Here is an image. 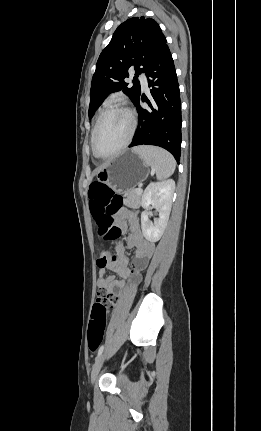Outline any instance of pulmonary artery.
Listing matches in <instances>:
<instances>
[{"instance_id": "e3ab8cb5", "label": "pulmonary artery", "mask_w": 261, "mask_h": 431, "mask_svg": "<svg viewBox=\"0 0 261 431\" xmlns=\"http://www.w3.org/2000/svg\"><path fill=\"white\" fill-rule=\"evenodd\" d=\"M140 79V83L143 89H147L148 88V80L145 74H140L139 76Z\"/></svg>"}]
</instances>
